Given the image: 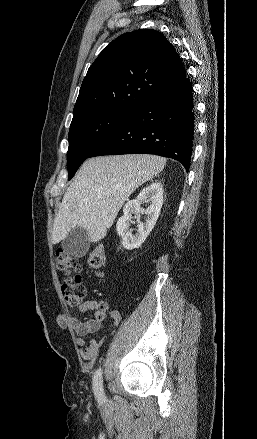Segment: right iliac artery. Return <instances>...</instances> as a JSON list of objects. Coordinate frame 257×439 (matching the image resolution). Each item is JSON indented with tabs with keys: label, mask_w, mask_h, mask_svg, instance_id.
<instances>
[{
	"label": "right iliac artery",
	"mask_w": 257,
	"mask_h": 439,
	"mask_svg": "<svg viewBox=\"0 0 257 439\" xmlns=\"http://www.w3.org/2000/svg\"><path fill=\"white\" fill-rule=\"evenodd\" d=\"M102 370L101 368L98 369L94 375L93 378V389H94V393L96 398L98 399V401H104L105 400V395L103 392V385H102Z\"/></svg>",
	"instance_id": "82829eb1"
}]
</instances>
